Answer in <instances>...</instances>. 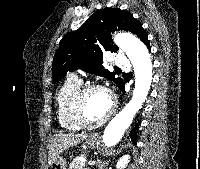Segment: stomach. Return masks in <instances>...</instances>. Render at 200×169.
Instances as JSON below:
<instances>
[{"instance_id":"0dacf381","label":"stomach","mask_w":200,"mask_h":169,"mask_svg":"<svg viewBox=\"0 0 200 169\" xmlns=\"http://www.w3.org/2000/svg\"><path fill=\"white\" fill-rule=\"evenodd\" d=\"M97 142L98 140L95 136H89L85 141V145L88 148H94ZM66 163V159L63 156L59 155L57 159L49 165L48 169H66Z\"/></svg>"}]
</instances>
